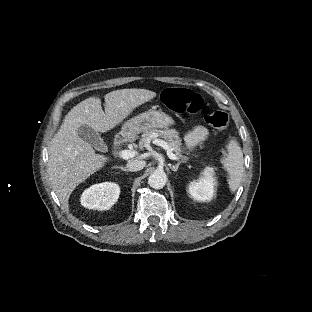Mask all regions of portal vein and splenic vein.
<instances>
[{"instance_id":"obj_1","label":"portal vein and splenic vein","mask_w":312,"mask_h":312,"mask_svg":"<svg viewBox=\"0 0 312 312\" xmlns=\"http://www.w3.org/2000/svg\"><path fill=\"white\" fill-rule=\"evenodd\" d=\"M155 144H157L158 146H161L163 149L167 150V156L169 157V159H171V160H178L179 159L173 153V149H171L165 141H163L161 139H155ZM136 154H137V152L135 150H122L119 153L120 157L125 159V160L134 157ZM185 158L187 159V157H185Z\"/></svg>"}]
</instances>
